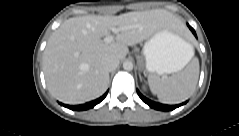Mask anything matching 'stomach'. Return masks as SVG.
<instances>
[{"label": "stomach", "instance_id": "stomach-1", "mask_svg": "<svg viewBox=\"0 0 239 136\" xmlns=\"http://www.w3.org/2000/svg\"><path fill=\"white\" fill-rule=\"evenodd\" d=\"M191 48L177 29L163 28L146 41L140 67L156 75L178 72L187 64Z\"/></svg>", "mask_w": 239, "mask_h": 136}]
</instances>
